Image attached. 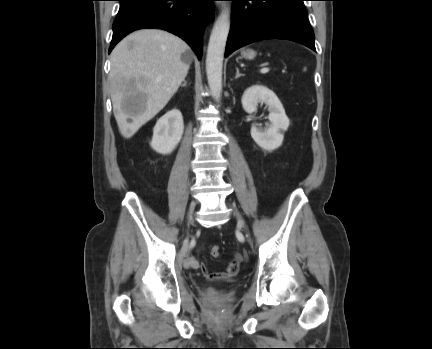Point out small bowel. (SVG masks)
Wrapping results in <instances>:
<instances>
[{"label":"small bowel","mask_w":432,"mask_h":349,"mask_svg":"<svg viewBox=\"0 0 432 349\" xmlns=\"http://www.w3.org/2000/svg\"><path fill=\"white\" fill-rule=\"evenodd\" d=\"M239 260L231 262L225 271L208 272L204 267L201 272L204 277L210 282H227L232 280L239 272Z\"/></svg>","instance_id":"c3829d8e"}]
</instances>
